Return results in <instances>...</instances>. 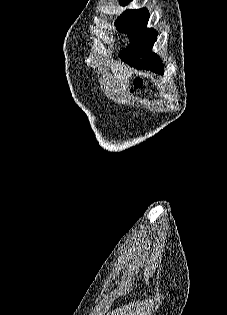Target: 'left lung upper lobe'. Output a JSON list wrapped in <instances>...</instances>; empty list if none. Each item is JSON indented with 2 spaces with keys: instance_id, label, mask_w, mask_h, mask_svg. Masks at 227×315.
Listing matches in <instances>:
<instances>
[{
  "instance_id": "left-lung-upper-lobe-1",
  "label": "left lung upper lobe",
  "mask_w": 227,
  "mask_h": 315,
  "mask_svg": "<svg viewBox=\"0 0 227 315\" xmlns=\"http://www.w3.org/2000/svg\"><path fill=\"white\" fill-rule=\"evenodd\" d=\"M132 0H119L120 5L126 6ZM149 20V12L146 8L136 10H126L115 21L116 28L128 35L130 38V45L122 51L121 59L128 60V53L133 46L148 39L156 41L157 32L153 28H147L146 25Z\"/></svg>"
}]
</instances>
